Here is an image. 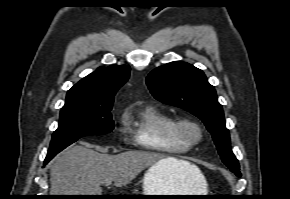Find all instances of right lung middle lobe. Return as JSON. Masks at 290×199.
<instances>
[{
    "label": "right lung middle lobe",
    "instance_id": "1",
    "mask_svg": "<svg viewBox=\"0 0 290 199\" xmlns=\"http://www.w3.org/2000/svg\"><path fill=\"white\" fill-rule=\"evenodd\" d=\"M112 107L62 108L58 129L53 133L47 157H54L81 137L102 135L114 128Z\"/></svg>",
    "mask_w": 290,
    "mask_h": 199
}]
</instances>
